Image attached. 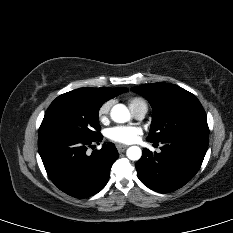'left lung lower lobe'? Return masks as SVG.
<instances>
[{"instance_id": "0a47b994", "label": "left lung lower lobe", "mask_w": 233, "mask_h": 233, "mask_svg": "<svg viewBox=\"0 0 233 233\" xmlns=\"http://www.w3.org/2000/svg\"><path fill=\"white\" fill-rule=\"evenodd\" d=\"M206 136H179L161 142L160 153L143 150L136 163L142 183L159 193L177 190L197 173L208 148ZM155 143V142H154Z\"/></svg>"}]
</instances>
